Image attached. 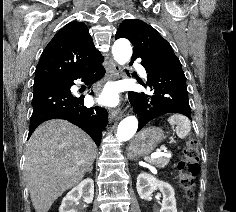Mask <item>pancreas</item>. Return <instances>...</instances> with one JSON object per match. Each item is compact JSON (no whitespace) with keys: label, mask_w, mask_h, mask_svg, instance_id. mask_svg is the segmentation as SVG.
<instances>
[{"label":"pancreas","mask_w":236,"mask_h":212,"mask_svg":"<svg viewBox=\"0 0 236 212\" xmlns=\"http://www.w3.org/2000/svg\"><path fill=\"white\" fill-rule=\"evenodd\" d=\"M170 157L161 156L153 160L154 165L159 168H164L169 163Z\"/></svg>","instance_id":"1"}]
</instances>
